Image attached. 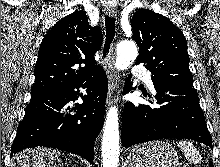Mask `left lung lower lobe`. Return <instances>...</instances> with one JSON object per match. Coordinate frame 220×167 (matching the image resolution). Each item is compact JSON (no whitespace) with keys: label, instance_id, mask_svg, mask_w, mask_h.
Here are the masks:
<instances>
[{"label":"left lung lower lobe","instance_id":"1","mask_svg":"<svg viewBox=\"0 0 220 167\" xmlns=\"http://www.w3.org/2000/svg\"><path fill=\"white\" fill-rule=\"evenodd\" d=\"M130 76L124 93L131 91ZM158 107L127 102L122 116V145L126 148L162 138H187L207 146L212 139L194 87L174 83H153Z\"/></svg>","mask_w":220,"mask_h":167}]
</instances>
